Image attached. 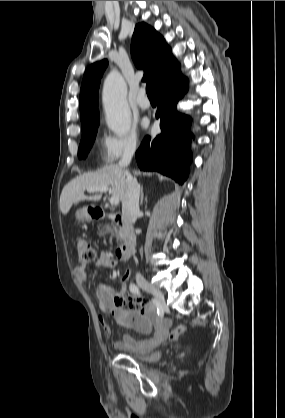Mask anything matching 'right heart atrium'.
Returning <instances> with one entry per match:
<instances>
[{"mask_svg": "<svg viewBox=\"0 0 285 418\" xmlns=\"http://www.w3.org/2000/svg\"><path fill=\"white\" fill-rule=\"evenodd\" d=\"M139 135L135 128H130L123 135H109L104 140L103 160L113 165L132 157L139 147Z\"/></svg>", "mask_w": 285, "mask_h": 418, "instance_id": "obj_1", "label": "right heart atrium"}]
</instances>
